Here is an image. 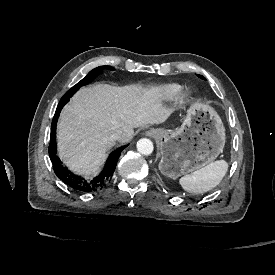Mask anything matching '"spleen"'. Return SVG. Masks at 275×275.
<instances>
[{"label": "spleen", "mask_w": 275, "mask_h": 275, "mask_svg": "<svg viewBox=\"0 0 275 275\" xmlns=\"http://www.w3.org/2000/svg\"><path fill=\"white\" fill-rule=\"evenodd\" d=\"M228 169L225 160L214 161L205 167L179 179L181 187L190 193H204L216 187Z\"/></svg>", "instance_id": "spleen-1"}]
</instances>
